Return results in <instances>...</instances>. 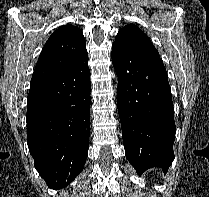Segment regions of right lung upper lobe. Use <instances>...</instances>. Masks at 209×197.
Wrapping results in <instances>:
<instances>
[{"label":"right lung upper lobe","instance_id":"cb5924a9","mask_svg":"<svg viewBox=\"0 0 209 197\" xmlns=\"http://www.w3.org/2000/svg\"><path fill=\"white\" fill-rule=\"evenodd\" d=\"M86 53L82 31L73 25L60 26L45 43L30 84L65 70Z\"/></svg>","mask_w":209,"mask_h":197}]
</instances>
